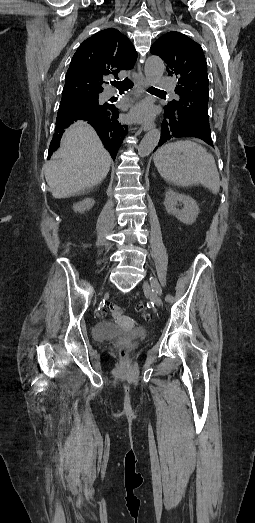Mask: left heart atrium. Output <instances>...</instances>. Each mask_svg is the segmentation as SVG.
Segmentation results:
<instances>
[{
    "instance_id": "39dd6f15",
    "label": "left heart atrium",
    "mask_w": 255,
    "mask_h": 523,
    "mask_svg": "<svg viewBox=\"0 0 255 523\" xmlns=\"http://www.w3.org/2000/svg\"><path fill=\"white\" fill-rule=\"evenodd\" d=\"M134 115L141 119H150L154 115V108L150 103H141L135 108Z\"/></svg>"
}]
</instances>
